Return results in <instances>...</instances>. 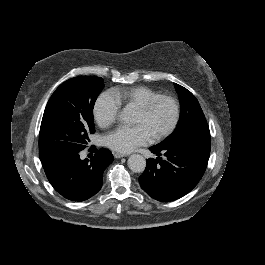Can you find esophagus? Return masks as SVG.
Returning <instances> with one entry per match:
<instances>
[{"label":"esophagus","mask_w":265,"mask_h":265,"mask_svg":"<svg viewBox=\"0 0 265 265\" xmlns=\"http://www.w3.org/2000/svg\"><path fill=\"white\" fill-rule=\"evenodd\" d=\"M127 155L124 153H119V152H115L114 153V157L115 158H122V157H126Z\"/></svg>","instance_id":"esophagus-1"}]
</instances>
